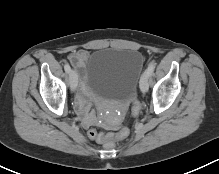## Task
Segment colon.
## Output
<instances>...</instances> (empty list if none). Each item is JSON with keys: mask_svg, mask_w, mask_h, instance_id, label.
<instances>
[{"mask_svg": "<svg viewBox=\"0 0 219 174\" xmlns=\"http://www.w3.org/2000/svg\"><path fill=\"white\" fill-rule=\"evenodd\" d=\"M141 103L137 99L132 100V107H131V114L132 116L136 117L141 112ZM130 131L127 127L121 128L117 133L115 134H104L101 132H98L94 129H91L88 131V136L92 140H96L97 142L103 143L108 148H113L114 142L116 140H123L128 137Z\"/></svg>", "mask_w": 219, "mask_h": 174, "instance_id": "1", "label": "colon"}]
</instances>
